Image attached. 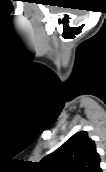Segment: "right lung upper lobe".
I'll return each instance as SVG.
<instances>
[{
	"label": "right lung upper lobe",
	"mask_w": 106,
	"mask_h": 172,
	"mask_svg": "<svg viewBox=\"0 0 106 172\" xmlns=\"http://www.w3.org/2000/svg\"><path fill=\"white\" fill-rule=\"evenodd\" d=\"M43 172H102L95 143L81 131L39 163Z\"/></svg>",
	"instance_id": "cb5924a9"
}]
</instances>
